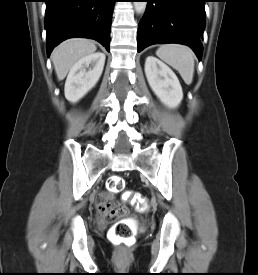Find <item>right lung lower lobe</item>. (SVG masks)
<instances>
[{"label":"right lung lower lobe","mask_w":258,"mask_h":275,"mask_svg":"<svg viewBox=\"0 0 258 275\" xmlns=\"http://www.w3.org/2000/svg\"><path fill=\"white\" fill-rule=\"evenodd\" d=\"M48 56L61 41L91 38L110 49V29L116 0H44Z\"/></svg>","instance_id":"98d812e1"}]
</instances>
